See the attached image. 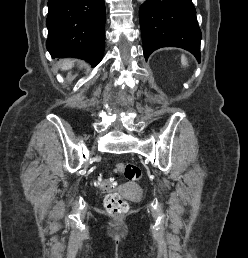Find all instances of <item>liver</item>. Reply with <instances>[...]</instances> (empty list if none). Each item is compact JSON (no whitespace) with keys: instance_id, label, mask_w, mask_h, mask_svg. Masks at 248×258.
<instances>
[{"instance_id":"obj_1","label":"liver","mask_w":248,"mask_h":258,"mask_svg":"<svg viewBox=\"0 0 248 258\" xmlns=\"http://www.w3.org/2000/svg\"><path fill=\"white\" fill-rule=\"evenodd\" d=\"M72 65H73L72 61H70V60H65V61L63 62V64H62V69H63V70H67V69L71 68Z\"/></svg>"}]
</instances>
